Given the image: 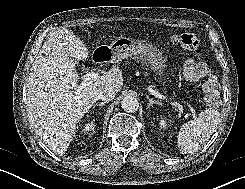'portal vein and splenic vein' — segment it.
Returning <instances> with one entry per match:
<instances>
[{"mask_svg": "<svg viewBox=\"0 0 245 189\" xmlns=\"http://www.w3.org/2000/svg\"><path fill=\"white\" fill-rule=\"evenodd\" d=\"M100 75L99 73L97 72H87L86 75L82 76V83L80 84V86L78 87V92L83 89L85 86H88L90 84H92L94 81H96L97 79H99ZM148 91L155 97L159 98V99H163V100H168V101H171V103L173 105H176V106H179V103L177 101L174 100V98H171V97H167V96H164L162 94H160L159 92L151 89V88H148ZM184 104H186L192 111V113H194V109L192 108V106L187 103L186 101L183 102Z\"/></svg>", "mask_w": 245, "mask_h": 189, "instance_id": "portal-vein-and-splenic-vein-1", "label": "portal vein and splenic vein"}]
</instances>
